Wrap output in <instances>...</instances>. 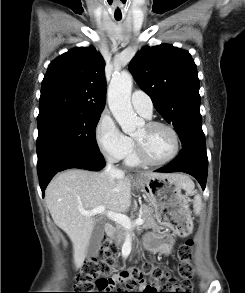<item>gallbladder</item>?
Listing matches in <instances>:
<instances>
[{
    "label": "gallbladder",
    "instance_id": "gallbladder-1",
    "mask_svg": "<svg viewBox=\"0 0 245 293\" xmlns=\"http://www.w3.org/2000/svg\"><path fill=\"white\" fill-rule=\"evenodd\" d=\"M103 237L104 224L102 222H96L87 248V258L97 256Z\"/></svg>",
    "mask_w": 245,
    "mask_h": 293
}]
</instances>
